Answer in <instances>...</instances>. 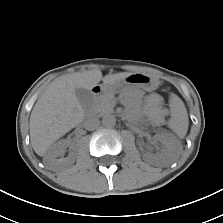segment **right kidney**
I'll return each instance as SVG.
<instances>
[{
  "instance_id": "obj_1",
  "label": "right kidney",
  "mask_w": 223,
  "mask_h": 223,
  "mask_svg": "<svg viewBox=\"0 0 223 223\" xmlns=\"http://www.w3.org/2000/svg\"><path fill=\"white\" fill-rule=\"evenodd\" d=\"M68 145L69 141L65 139L53 144L43 159L45 166L52 169L60 165H72L74 163L73 155L67 158H59Z\"/></svg>"
}]
</instances>
